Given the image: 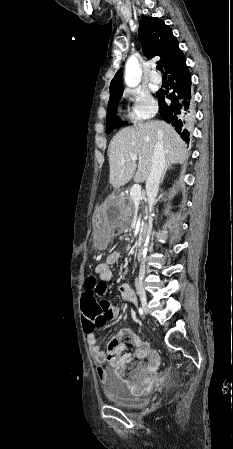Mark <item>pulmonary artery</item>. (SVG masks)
Listing matches in <instances>:
<instances>
[{
	"instance_id": "obj_1",
	"label": "pulmonary artery",
	"mask_w": 233,
	"mask_h": 449,
	"mask_svg": "<svg viewBox=\"0 0 233 449\" xmlns=\"http://www.w3.org/2000/svg\"><path fill=\"white\" fill-rule=\"evenodd\" d=\"M150 80L155 84H160L162 82V77L156 71H153L150 74Z\"/></svg>"
}]
</instances>
